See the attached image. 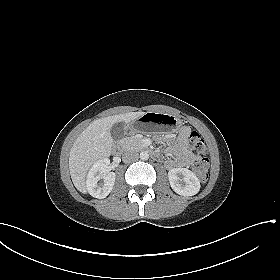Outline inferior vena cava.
Here are the masks:
<instances>
[{
  "label": "inferior vena cava",
  "mask_w": 280,
  "mask_h": 280,
  "mask_svg": "<svg viewBox=\"0 0 280 280\" xmlns=\"http://www.w3.org/2000/svg\"><path fill=\"white\" fill-rule=\"evenodd\" d=\"M139 154L136 151L130 150V151H126L124 152L123 156H122V160L125 163H130V162H134L138 159Z\"/></svg>",
  "instance_id": "obj_1"
}]
</instances>
